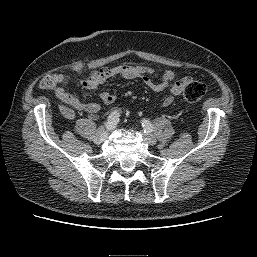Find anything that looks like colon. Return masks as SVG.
Segmentation results:
<instances>
[{"instance_id": "1", "label": "colon", "mask_w": 257, "mask_h": 257, "mask_svg": "<svg viewBox=\"0 0 257 257\" xmlns=\"http://www.w3.org/2000/svg\"><path fill=\"white\" fill-rule=\"evenodd\" d=\"M104 72H106V69H102L94 73L92 78L101 75ZM55 84L56 82L53 76L51 75L44 77L40 82V86L44 89H52L55 87ZM205 93L206 86L203 83L199 81L190 80L185 84L184 89L182 91V96L186 102L195 103L200 101L204 97Z\"/></svg>"}]
</instances>
